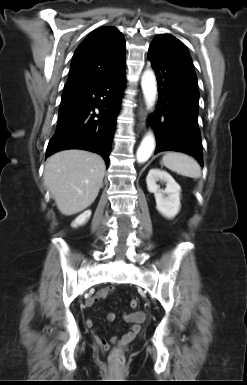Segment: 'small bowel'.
Listing matches in <instances>:
<instances>
[{
	"instance_id": "obj_1",
	"label": "small bowel",
	"mask_w": 247,
	"mask_h": 385,
	"mask_svg": "<svg viewBox=\"0 0 247 385\" xmlns=\"http://www.w3.org/2000/svg\"><path fill=\"white\" fill-rule=\"evenodd\" d=\"M110 289H103L95 296L91 297L87 300L86 305L91 306L96 303H98L101 299L107 297L110 294ZM146 314L143 311L135 312V313H129L125 315V320L130 324V327L127 331V333L119 340V343H126L135 338L141 329V324L145 320ZM116 319V313L115 312H109L107 314V320L108 321H114ZM85 324L87 327L92 328L93 322L91 319H86ZM95 340L96 342L103 347L104 349H108L110 347V343L107 342L105 339L101 338L97 334H95ZM112 341H115L113 339Z\"/></svg>"
}]
</instances>
